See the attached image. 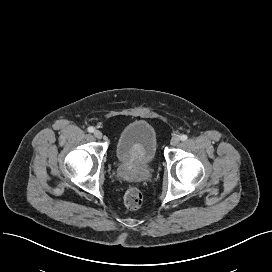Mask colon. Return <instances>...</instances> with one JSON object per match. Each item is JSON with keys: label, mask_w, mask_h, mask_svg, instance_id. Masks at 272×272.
Instances as JSON below:
<instances>
[{"label": "colon", "mask_w": 272, "mask_h": 272, "mask_svg": "<svg viewBox=\"0 0 272 272\" xmlns=\"http://www.w3.org/2000/svg\"><path fill=\"white\" fill-rule=\"evenodd\" d=\"M142 199H143L142 193L136 187L128 188L124 195V203L126 207L131 210L139 208L140 205L142 204Z\"/></svg>", "instance_id": "1"}]
</instances>
